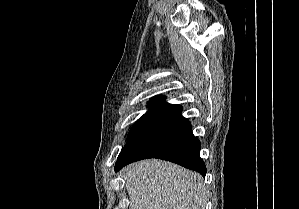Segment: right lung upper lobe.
<instances>
[{"mask_svg":"<svg viewBox=\"0 0 299 209\" xmlns=\"http://www.w3.org/2000/svg\"><path fill=\"white\" fill-rule=\"evenodd\" d=\"M166 97L165 96H155L153 98L150 99V101L148 102V104H151V105H161L163 104V102L165 101Z\"/></svg>","mask_w":299,"mask_h":209,"instance_id":"obj_1","label":"right lung upper lobe"}]
</instances>
